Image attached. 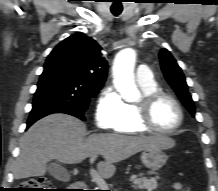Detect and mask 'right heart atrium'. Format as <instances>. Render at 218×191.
<instances>
[{
    "mask_svg": "<svg viewBox=\"0 0 218 191\" xmlns=\"http://www.w3.org/2000/svg\"><path fill=\"white\" fill-rule=\"evenodd\" d=\"M124 102L111 87L105 88L94 110L96 125L102 130H113L122 117Z\"/></svg>",
    "mask_w": 218,
    "mask_h": 191,
    "instance_id": "right-heart-atrium-1",
    "label": "right heart atrium"
}]
</instances>
